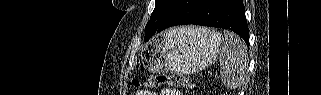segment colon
Segmentation results:
<instances>
[{
    "instance_id": "colon-1",
    "label": "colon",
    "mask_w": 321,
    "mask_h": 95,
    "mask_svg": "<svg viewBox=\"0 0 321 95\" xmlns=\"http://www.w3.org/2000/svg\"><path fill=\"white\" fill-rule=\"evenodd\" d=\"M134 85H140L141 82L137 79L132 80ZM143 85L150 88L159 87L162 85H170L179 88H193V81L180 74H158L151 76L143 81Z\"/></svg>"
}]
</instances>
